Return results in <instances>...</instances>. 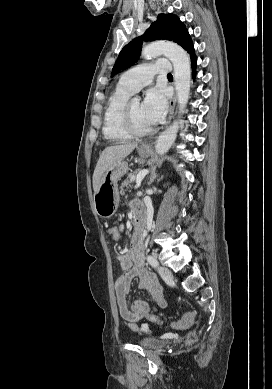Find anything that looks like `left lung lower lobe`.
<instances>
[{
    "mask_svg": "<svg viewBox=\"0 0 272 389\" xmlns=\"http://www.w3.org/2000/svg\"><path fill=\"white\" fill-rule=\"evenodd\" d=\"M190 54V57H191V64H192V75H193V78L195 77V74H196V62H197V58H196V55H195V50L194 48L189 52Z\"/></svg>",
    "mask_w": 272,
    "mask_h": 389,
    "instance_id": "1",
    "label": "left lung lower lobe"
}]
</instances>
